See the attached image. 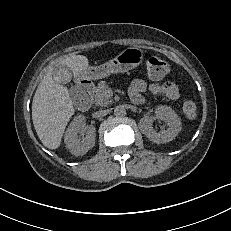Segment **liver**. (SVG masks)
Returning a JSON list of instances; mask_svg holds the SVG:
<instances>
[{"instance_id": "liver-1", "label": "liver", "mask_w": 231, "mask_h": 231, "mask_svg": "<svg viewBox=\"0 0 231 231\" xmlns=\"http://www.w3.org/2000/svg\"><path fill=\"white\" fill-rule=\"evenodd\" d=\"M60 70L66 68L74 76L89 67L87 57L72 55L59 62ZM50 70L40 82L32 102V120L36 133L49 149H57L64 130L75 112L67 87L61 85Z\"/></svg>"}]
</instances>
